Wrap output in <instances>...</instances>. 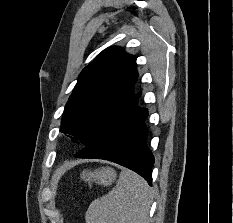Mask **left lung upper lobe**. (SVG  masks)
Segmentation results:
<instances>
[{"label": "left lung upper lobe", "instance_id": "5c2ea615", "mask_svg": "<svg viewBox=\"0 0 233 223\" xmlns=\"http://www.w3.org/2000/svg\"><path fill=\"white\" fill-rule=\"evenodd\" d=\"M137 76L136 57L120 47L102 51L80 73L66 104L60 132L73 142L88 145L133 97Z\"/></svg>", "mask_w": 233, "mask_h": 223}]
</instances>
